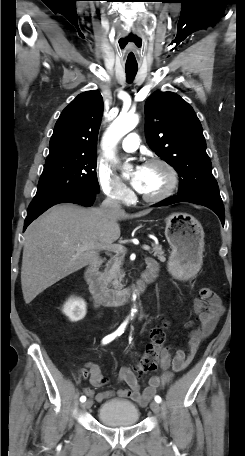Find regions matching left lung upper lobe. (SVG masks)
Masks as SVG:
<instances>
[{"mask_svg":"<svg viewBox=\"0 0 245 456\" xmlns=\"http://www.w3.org/2000/svg\"><path fill=\"white\" fill-rule=\"evenodd\" d=\"M150 148L180 175L178 196L222 204L206 141L193 108L173 92H155L145 103Z\"/></svg>","mask_w":245,"mask_h":456,"instance_id":"1","label":"left lung upper lobe"}]
</instances>
